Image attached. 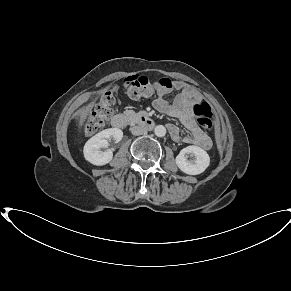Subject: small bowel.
Wrapping results in <instances>:
<instances>
[{"label": "small bowel", "instance_id": "small-bowel-1", "mask_svg": "<svg viewBox=\"0 0 291 291\" xmlns=\"http://www.w3.org/2000/svg\"><path fill=\"white\" fill-rule=\"evenodd\" d=\"M163 80H166L169 86L163 87L156 92L153 105L158 111L179 118L186 130V133L182 136L181 130L177 125L169 124L168 130L172 139L179 141L182 138L186 143L204 150L210 149L212 145L211 139L197 126L188 110L190 104L196 98L194 91L183 81H170L166 78ZM172 90L179 91V94L170 102L165 99V96Z\"/></svg>", "mask_w": 291, "mask_h": 291}]
</instances>
